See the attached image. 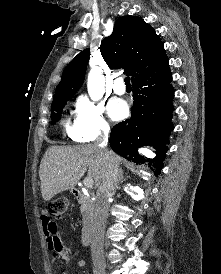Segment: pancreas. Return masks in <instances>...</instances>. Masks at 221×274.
<instances>
[{"label":"pancreas","instance_id":"cf45deb5","mask_svg":"<svg viewBox=\"0 0 221 274\" xmlns=\"http://www.w3.org/2000/svg\"><path fill=\"white\" fill-rule=\"evenodd\" d=\"M91 206H92V202L91 201H88V203L82 205V207L80 209L81 210V214H85L89 210V208Z\"/></svg>","mask_w":221,"mask_h":274}]
</instances>
